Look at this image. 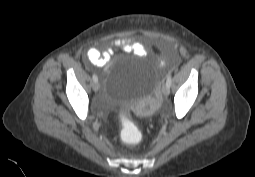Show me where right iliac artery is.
Returning <instances> with one entry per match:
<instances>
[{"mask_svg":"<svg viewBox=\"0 0 255 177\" xmlns=\"http://www.w3.org/2000/svg\"><path fill=\"white\" fill-rule=\"evenodd\" d=\"M92 79L94 82H98V77L95 74L92 76Z\"/></svg>","mask_w":255,"mask_h":177,"instance_id":"82829eb1","label":"right iliac artery"}]
</instances>
